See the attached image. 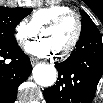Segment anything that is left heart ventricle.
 <instances>
[{
	"instance_id": "left-heart-ventricle-1",
	"label": "left heart ventricle",
	"mask_w": 103,
	"mask_h": 103,
	"mask_svg": "<svg viewBox=\"0 0 103 103\" xmlns=\"http://www.w3.org/2000/svg\"><path fill=\"white\" fill-rule=\"evenodd\" d=\"M75 30H76L75 20L69 19L56 28L45 30L41 35L51 40L57 52L69 44V42L74 36Z\"/></svg>"
}]
</instances>
